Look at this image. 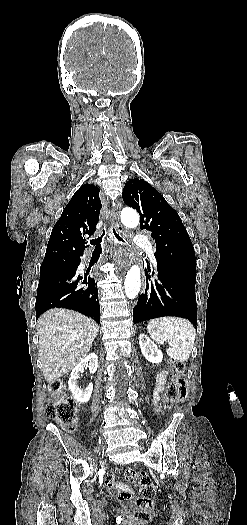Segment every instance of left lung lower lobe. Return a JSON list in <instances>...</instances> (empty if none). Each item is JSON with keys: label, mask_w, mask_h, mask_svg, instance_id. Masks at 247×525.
Instances as JSON below:
<instances>
[{"label": "left lung lower lobe", "mask_w": 247, "mask_h": 525, "mask_svg": "<svg viewBox=\"0 0 247 525\" xmlns=\"http://www.w3.org/2000/svg\"><path fill=\"white\" fill-rule=\"evenodd\" d=\"M157 265L159 280L151 283V289L148 287L140 296L133 309L134 323L163 316H178L191 320L196 326V274L170 266ZM146 274L148 275L147 270ZM149 278L150 276L147 277Z\"/></svg>", "instance_id": "obj_1"}]
</instances>
